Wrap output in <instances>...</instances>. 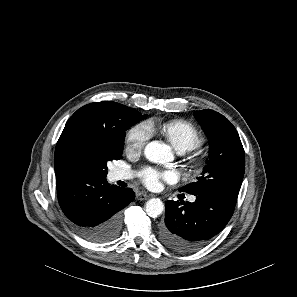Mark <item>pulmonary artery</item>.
Listing matches in <instances>:
<instances>
[{"instance_id":"1","label":"pulmonary artery","mask_w":297,"mask_h":297,"mask_svg":"<svg viewBox=\"0 0 297 297\" xmlns=\"http://www.w3.org/2000/svg\"><path fill=\"white\" fill-rule=\"evenodd\" d=\"M132 177V173L126 170H122V169H114L111 172V178L113 181H120V180H128ZM195 197L192 196L190 197V202H194L195 201Z\"/></svg>"}]
</instances>
